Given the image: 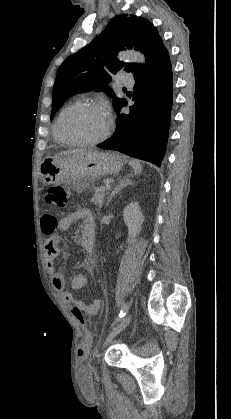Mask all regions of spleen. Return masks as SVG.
Returning a JSON list of instances; mask_svg holds the SVG:
<instances>
[{
  "label": "spleen",
  "mask_w": 231,
  "mask_h": 419,
  "mask_svg": "<svg viewBox=\"0 0 231 419\" xmlns=\"http://www.w3.org/2000/svg\"><path fill=\"white\" fill-rule=\"evenodd\" d=\"M133 169H134L135 174H137V173L141 172L142 167L138 162L134 161L133 162Z\"/></svg>",
  "instance_id": "spleen-1"
}]
</instances>
